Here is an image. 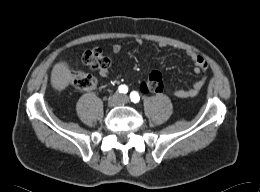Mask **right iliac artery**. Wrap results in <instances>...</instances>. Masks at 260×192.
Instances as JSON below:
<instances>
[{"instance_id":"right-iliac-artery-1","label":"right iliac artery","mask_w":260,"mask_h":192,"mask_svg":"<svg viewBox=\"0 0 260 192\" xmlns=\"http://www.w3.org/2000/svg\"><path fill=\"white\" fill-rule=\"evenodd\" d=\"M118 91L120 93H127L128 92V87L125 84L120 85L119 88H118Z\"/></svg>"}]
</instances>
